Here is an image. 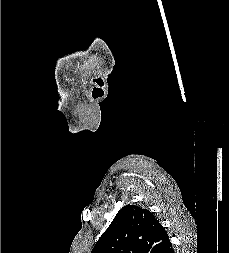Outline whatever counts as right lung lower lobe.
Instances as JSON below:
<instances>
[{"label":"right lung lower lobe","mask_w":229,"mask_h":253,"mask_svg":"<svg viewBox=\"0 0 229 253\" xmlns=\"http://www.w3.org/2000/svg\"><path fill=\"white\" fill-rule=\"evenodd\" d=\"M160 253H174V249L172 244L170 243L167 247H165Z\"/></svg>","instance_id":"98d812e1"}]
</instances>
